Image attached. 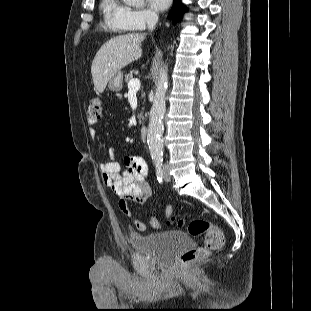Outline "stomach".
Masks as SVG:
<instances>
[{
    "label": "stomach",
    "mask_w": 311,
    "mask_h": 311,
    "mask_svg": "<svg viewBox=\"0 0 311 311\" xmlns=\"http://www.w3.org/2000/svg\"><path fill=\"white\" fill-rule=\"evenodd\" d=\"M123 74L119 71L117 72L108 83V87L112 91H120L123 87Z\"/></svg>",
    "instance_id": "obj_1"
}]
</instances>
